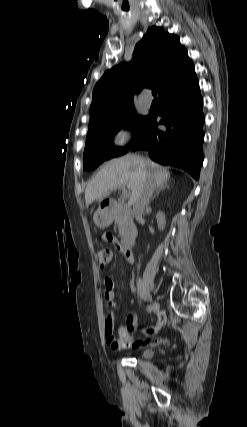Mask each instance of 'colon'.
Wrapping results in <instances>:
<instances>
[{
  "label": "colon",
  "instance_id": "5ec220e1",
  "mask_svg": "<svg viewBox=\"0 0 247 427\" xmlns=\"http://www.w3.org/2000/svg\"><path fill=\"white\" fill-rule=\"evenodd\" d=\"M95 257L100 267L104 268L110 263L112 259V252L108 248H103L96 252ZM107 335L110 337L113 347L117 350L130 348L133 344L132 340L128 337L125 331H121L120 334L115 337L113 335V329L111 325L107 329Z\"/></svg>",
  "mask_w": 247,
  "mask_h": 427
}]
</instances>
